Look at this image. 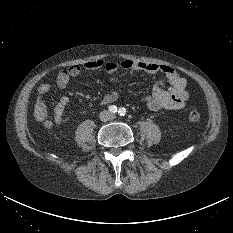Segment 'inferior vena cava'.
Here are the masks:
<instances>
[{"label":"inferior vena cava","instance_id":"602c4592","mask_svg":"<svg viewBox=\"0 0 233 233\" xmlns=\"http://www.w3.org/2000/svg\"><path fill=\"white\" fill-rule=\"evenodd\" d=\"M112 117H113V115L111 114L110 117H109V119L112 118Z\"/></svg>","mask_w":233,"mask_h":233}]
</instances>
